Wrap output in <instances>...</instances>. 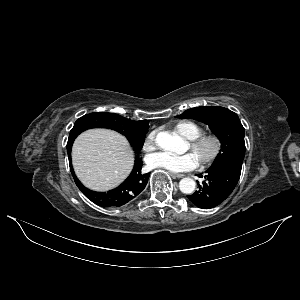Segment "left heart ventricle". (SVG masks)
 Masks as SVG:
<instances>
[{"label":"left heart ventricle","instance_id":"obj_1","mask_svg":"<svg viewBox=\"0 0 300 300\" xmlns=\"http://www.w3.org/2000/svg\"><path fill=\"white\" fill-rule=\"evenodd\" d=\"M211 148L210 143H206L198 149H191L190 146H188V150L195 156L198 162L209 155Z\"/></svg>","mask_w":300,"mask_h":300}]
</instances>
